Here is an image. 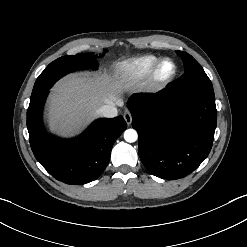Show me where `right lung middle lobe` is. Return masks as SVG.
I'll list each match as a JSON object with an SVG mask.
<instances>
[{
	"label": "right lung middle lobe",
	"instance_id": "obj_1",
	"mask_svg": "<svg viewBox=\"0 0 247 247\" xmlns=\"http://www.w3.org/2000/svg\"><path fill=\"white\" fill-rule=\"evenodd\" d=\"M102 56L100 55L99 57ZM96 58L97 56L89 54H77L74 56H63L50 63L35 82L30 104L37 102L46 95L54 83L64 75L86 67H90L93 70L97 69Z\"/></svg>",
	"mask_w": 247,
	"mask_h": 247
}]
</instances>
